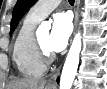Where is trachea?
<instances>
[{
	"label": "trachea",
	"instance_id": "3493384b",
	"mask_svg": "<svg viewBox=\"0 0 107 89\" xmlns=\"http://www.w3.org/2000/svg\"><path fill=\"white\" fill-rule=\"evenodd\" d=\"M69 3H70L71 5H73V4H74V0H69Z\"/></svg>",
	"mask_w": 107,
	"mask_h": 89
}]
</instances>
